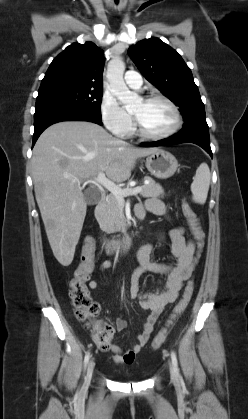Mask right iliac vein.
Returning a JSON list of instances; mask_svg holds the SVG:
<instances>
[{
    "label": "right iliac vein",
    "instance_id": "1",
    "mask_svg": "<svg viewBox=\"0 0 248 419\" xmlns=\"http://www.w3.org/2000/svg\"><path fill=\"white\" fill-rule=\"evenodd\" d=\"M94 366H95L94 361L91 360L88 364L85 382L82 386L83 391H85L88 388V385L90 384V381H91L92 375H93V371H94Z\"/></svg>",
    "mask_w": 248,
    "mask_h": 419
}]
</instances>
